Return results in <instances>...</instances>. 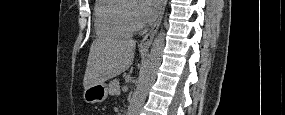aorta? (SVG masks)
<instances>
[{
  "label": "aorta",
  "mask_w": 285,
  "mask_h": 115,
  "mask_svg": "<svg viewBox=\"0 0 285 115\" xmlns=\"http://www.w3.org/2000/svg\"><path fill=\"white\" fill-rule=\"evenodd\" d=\"M164 45L165 34L161 31L152 44L149 60L142 71L137 88L132 95L127 115H138L144 105L148 92L156 79L162 60Z\"/></svg>",
  "instance_id": "obj_1"
}]
</instances>
